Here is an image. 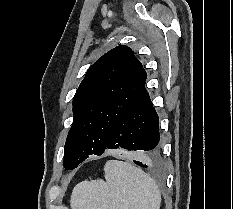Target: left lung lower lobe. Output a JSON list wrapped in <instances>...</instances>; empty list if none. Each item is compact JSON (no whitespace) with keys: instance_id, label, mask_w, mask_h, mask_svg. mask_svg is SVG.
<instances>
[{"instance_id":"1","label":"left lung lower lobe","mask_w":233,"mask_h":209,"mask_svg":"<svg viewBox=\"0 0 233 209\" xmlns=\"http://www.w3.org/2000/svg\"><path fill=\"white\" fill-rule=\"evenodd\" d=\"M158 123L159 118L144 81L134 100L112 129L105 151L118 148L146 151L145 159L134 162L141 167L156 164L160 158Z\"/></svg>"}]
</instances>
